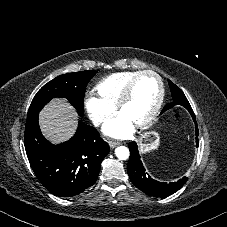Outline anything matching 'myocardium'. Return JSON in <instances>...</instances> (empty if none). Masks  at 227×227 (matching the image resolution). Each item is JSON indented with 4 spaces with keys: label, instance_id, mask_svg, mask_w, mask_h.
Listing matches in <instances>:
<instances>
[{
    "label": "myocardium",
    "instance_id": "1",
    "mask_svg": "<svg viewBox=\"0 0 227 227\" xmlns=\"http://www.w3.org/2000/svg\"><path fill=\"white\" fill-rule=\"evenodd\" d=\"M144 75H151L157 80L158 85H159V92H158L157 100H156L152 110L150 111L149 115L143 121H141L135 125V127L139 128V129L149 126L155 120L156 116L158 115V113L161 109V106H162V103L164 100L165 88H164L163 80L160 77V75L153 70L139 71L130 79L126 88L124 89V91L122 92L121 96L119 97V99L116 103V110L118 113H120L123 106L132 97L138 80Z\"/></svg>",
    "mask_w": 227,
    "mask_h": 227
}]
</instances>
